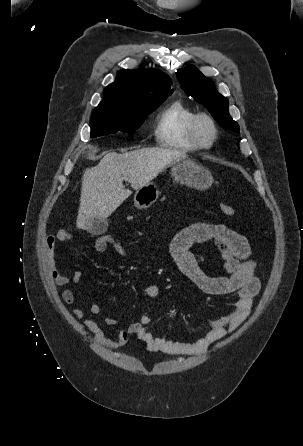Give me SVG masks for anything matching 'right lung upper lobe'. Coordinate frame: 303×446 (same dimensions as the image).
I'll use <instances>...</instances> for the list:
<instances>
[{
  "label": "right lung upper lobe",
  "instance_id": "1",
  "mask_svg": "<svg viewBox=\"0 0 303 446\" xmlns=\"http://www.w3.org/2000/svg\"><path fill=\"white\" fill-rule=\"evenodd\" d=\"M168 75L156 70H122L108 85L96 109L144 110L163 103L173 92Z\"/></svg>",
  "mask_w": 303,
  "mask_h": 446
}]
</instances>
